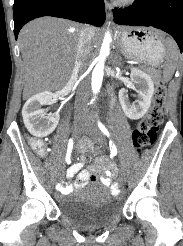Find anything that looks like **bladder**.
<instances>
[{"mask_svg": "<svg viewBox=\"0 0 183 246\" xmlns=\"http://www.w3.org/2000/svg\"><path fill=\"white\" fill-rule=\"evenodd\" d=\"M60 212L79 227H99L120 214L121 204L105 187L92 184L80 197L62 202Z\"/></svg>", "mask_w": 183, "mask_h": 246, "instance_id": "bladder-1", "label": "bladder"}]
</instances>
